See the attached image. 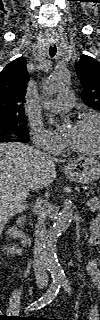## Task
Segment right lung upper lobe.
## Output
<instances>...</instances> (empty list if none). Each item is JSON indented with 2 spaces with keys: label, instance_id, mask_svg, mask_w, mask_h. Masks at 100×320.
<instances>
[{
  "label": "right lung upper lobe",
  "instance_id": "cb5924a9",
  "mask_svg": "<svg viewBox=\"0 0 100 320\" xmlns=\"http://www.w3.org/2000/svg\"><path fill=\"white\" fill-rule=\"evenodd\" d=\"M26 60L17 58L0 72V120L25 116Z\"/></svg>",
  "mask_w": 100,
  "mask_h": 320
}]
</instances>
